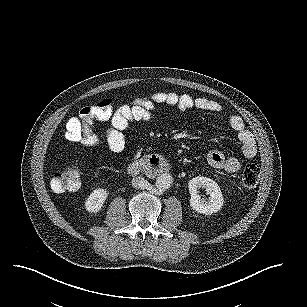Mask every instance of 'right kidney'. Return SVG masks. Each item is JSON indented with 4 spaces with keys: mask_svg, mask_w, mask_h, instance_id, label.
<instances>
[{
    "mask_svg": "<svg viewBox=\"0 0 307 307\" xmlns=\"http://www.w3.org/2000/svg\"><path fill=\"white\" fill-rule=\"evenodd\" d=\"M107 197L108 192L105 189L97 188L93 190L85 201V209L91 213L99 212Z\"/></svg>",
    "mask_w": 307,
    "mask_h": 307,
    "instance_id": "obj_1",
    "label": "right kidney"
}]
</instances>
